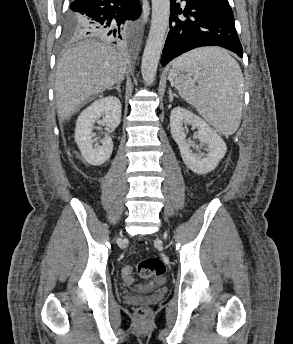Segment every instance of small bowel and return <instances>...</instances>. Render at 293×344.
I'll return each mask as SVG.
<instances>
[{"mask_svg":"<svg viewBox=\"0 0 293 344\" xmlns=\"http://www.w3.org/2000/svg\"><path fill=\"white\" fill-rule=\"evenodd\" d=\"M125 282H126L127 284H130V283H132V280H125Z\"/></svg>","mask_w":293,"mask_h":344,"instance_id":"1","label":"small bowel"}]
</instances>
